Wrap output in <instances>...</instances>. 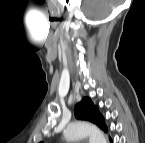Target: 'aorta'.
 I'll return each mask as SVG.
<instances>
[{"label": "aorta", "mask_w": 145, "mask_h": 143, "mask_svg": "<svg viewBox=\"0 0 145 143\" xmlns=\"http://www.w3.org/2000/svg\"><path fill=\"white\" fill-rule=\"evenodd\" d=\"M64 136L68 141L89 137L90 143H107V139L98 127L83 121L70 123L64 131Z\"/></svg>", "instance_id": "762f6f07"}]
</instances>
